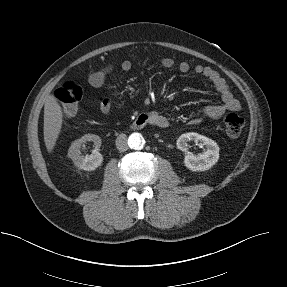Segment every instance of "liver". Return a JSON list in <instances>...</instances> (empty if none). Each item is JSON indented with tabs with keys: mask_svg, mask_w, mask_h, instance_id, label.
Listing matches in <instances>:
<instances>
[{
	"mask_svg": "<svg viewBox=\"0 0 287 287\" xmlns=\"http://www.w3.org/2000/svg\"><path fill=\"white\" fill-rule=\"evenodd\" d=\"M62 118V108L53 95H48L44 105V142L49 153L52 152L61 131Z\"/></svg>",
	"mask_w": 287,
	"mask_h": 287,
	"instance_id": "6515ba94",
	"label": "liver"
}]
</instances>
